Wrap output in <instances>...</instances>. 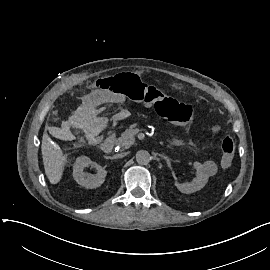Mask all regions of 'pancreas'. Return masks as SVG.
Listing matches in <instances>:
<instances>
[{
    "label": "pancreas",
    "mask_w": 270,
    "mask_h": 270,
    "mask_svg": "<svg viewBox=\"0 0 270 270\" xmlns=\"http://www.w3.org/2000/svg\"><path fill=\"white\" fill-rule=\"evenodd\" d=\"M134 141V135L131 132V129H127L122 136L118 139V145L124 148H129Z\"/></svg>",
    "instance_id": "obj_1"
}]
</instances>
